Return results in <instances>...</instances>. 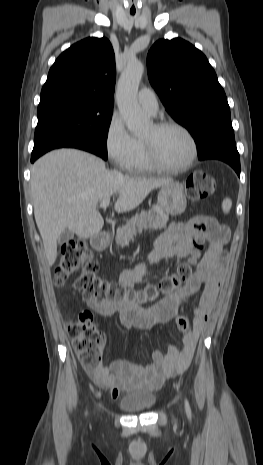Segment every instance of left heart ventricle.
I'll list each match as a JSON object with an SVG mask.
<instances>
[{
	"label": "left heart ventricle",
	"mask_w": 263,
	"mask_h": 465,
	"mask_svg": "<svg viewBox=\"0 0 263 465\" xmlns=\"http://www.w3.org/2000/svg\"><path fill=\"white\" fill-rule=\"evenodd\" d=\"M142 139L153 142L159 158L167 165H182L191 155L192 147L188 137L176 128L156 131L152 125Z\"/></svg>",
	"instance_id": "left-heart-ventricle-1"
}]
</instances>
